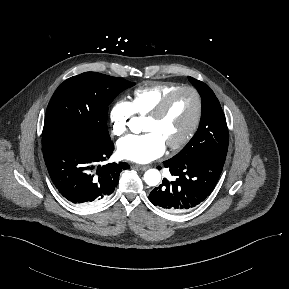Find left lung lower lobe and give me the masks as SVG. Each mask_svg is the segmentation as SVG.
Returning <instances> with one entry per match:
<instances>
[{
    "label": "left lung lower lobe",
    "mask_w": 289,
    "mask_h": 289,
    "mask_svg": "<svg viewBox=\"0 0 289 289\" xmlns=\"http://www.w3.org/2000/svg\"><path fill=\"white\" fill-rule=\"evenodd\" d=\"M225 159L226 155L202 154L185 161L172 158L164 161L174 180L163 179L162 184L151 191L150 201L169 212L191 210L210 195Z\"/></svg>",
    "instance_id": "obj_1"
}]
</instances>
